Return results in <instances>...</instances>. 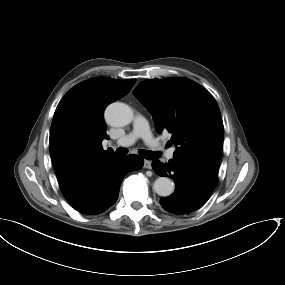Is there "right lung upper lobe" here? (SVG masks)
<instances>
[{
  "instance_id": "obj_1",
  "label": "right lung upper lobe",
  "mask_w": 285,
  "mask_h": 285,
  "mask_svg": "<svg viewBox=\"0 0 285 285\" xmlns=\"http://www.w3.org/2000/svg\"><path fill=\"white\" fill-rule=\"evenodd\" d=\"M136 80L97 77L71 88L58 104L50 130L49 149L65 198L104 165L118 159L103 150L107 138L103 112L129 93Z\"/></svg>"
}]
</instances>
